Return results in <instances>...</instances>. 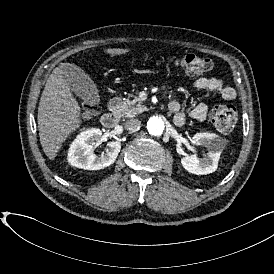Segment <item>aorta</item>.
<instances>
[{
	"label": "aorta",
	"mask_w": 274,
	"mask_h": 274,
	"mask_svg": "<svg viewBox=\"0 0 274 274\" xmlns=\"http://www.w3.org/2000/svg\"><path fill=\"white\" fill-rule=\"evenodd\" d=\"M165 128L164 121L160 116H152L147 122L148 132L153 136H159Z\"/></svg>",
	"instance_id": "obj_1"
}]
</instances>
